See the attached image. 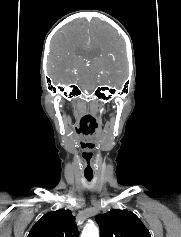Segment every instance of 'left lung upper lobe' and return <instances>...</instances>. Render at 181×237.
<instances>
[{
    "label": "left lung upper lobe",
    "mask_w": 181,
    "mask_h": 237,
    "mask_svg": "<svg viewBox=\"0 0 181 237\" xmlns=\"http://www.w3.org/2000/svg\"><path fill=\"white\" fill-rule=\"evenodd\" d=\"M100 237H151L142 221L128 210L113 209L95 217Z\"/></svg>",
    "instance_id": "left-lung-upper-lobe-1"
}]
</instances>
